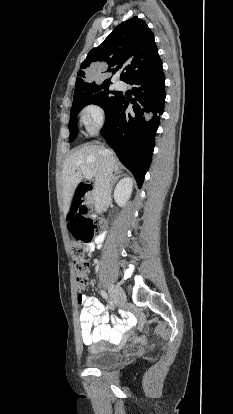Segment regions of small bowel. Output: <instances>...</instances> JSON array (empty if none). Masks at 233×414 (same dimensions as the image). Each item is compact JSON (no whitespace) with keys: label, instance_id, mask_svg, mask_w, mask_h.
Instances as JSON below:
<instances>
[{"label":"small bowel","instance_id":"obj_1","mask_svg":"<svg viewBox=\"0 0 233 414\" xmlns=\"http://www.w3.org/2000/svg\"><path fill=\"white\" fill-rule=\"evenodd\" d=\"M105 238L104 234H100L95 242L86 245L89 252L95 250L96 244H101ZM78 301L80 305V326L82 342L97 349L95 343L105 340L111 344L119 345L123 341V335L127 330L134 327L136 318L132 314H128L127 320L123 323L119 318L113 319V327L109 325V314L105 311L104 305L99 299L93 296H86L85 291L79 292Z\"/></svg>","mask_w":233,"mask_h":414}]
</instances>
